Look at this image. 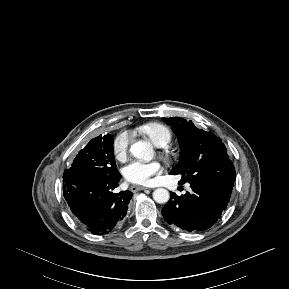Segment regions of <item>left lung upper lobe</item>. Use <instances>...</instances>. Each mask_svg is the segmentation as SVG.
I'll use <instances>...</instances> for the list:
<instances>
[{
  "label": "left lung upper lobe",
  "mask_w": 289,
  "mask_h": 289,
  "mask_svg": "<svg viewBox=\"0 0 289 289\" xmlns=\"http://www.w3.org/2000/svg\"><path fill=\"white\" fill-rule=\"evenodd\" d=\"M162 119L172 126L182 148L181 160L170 174H181L180 183L189 182L231 194L235 168L221 139L196 128L191 121L179 117Z\"/></svg>",
  "instance_id": "left-lung-upper-lobe-1"
}]
</instances>
